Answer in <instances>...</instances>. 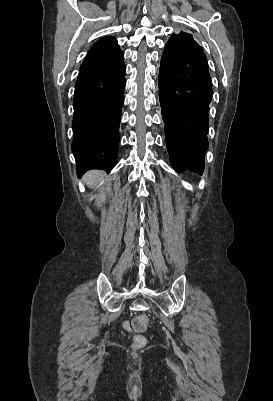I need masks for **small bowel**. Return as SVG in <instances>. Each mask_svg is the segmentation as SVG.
<instances>
[{
    "label": "small bowel",
    "mask_w": 273,
    "mask_h": 401,
    "mask_svg": "<svg viewBox=\"0 0 273 401\" xmlns=\"http://www.w3.org/2000/svg\"><path fill=\"white\" fill-rule=\"evenodd\" d=\"M123 324H124V328L127 329V332L131 333L132 329H131L130 319L129 318H124L123 319Z\"/></svg>",
    "instance_id": "c3829d8e"
}]
</instances>
